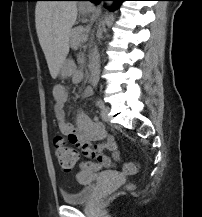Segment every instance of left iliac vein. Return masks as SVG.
<instances>
[{"instance_id": "obj_1", "label": "left iliac vein", "mask_w": 202, "mask_h": 217, "mask_svg": "<svg viewBox=\"0 0 202 217\" xmlns=\"http://www.w3.org/2000/svg\"><path fill=\"white\" fill-rule=\"evenodd\" d=\"M110 111L109 107H103L101 110V117L103 119V121L108 122L109 118H108V113Z\"/></svg>"}]
</instances>
